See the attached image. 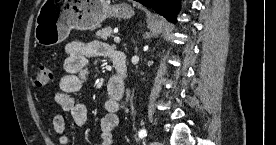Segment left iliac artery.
Segmentation results:
<instances>
[{
    "label": "left iliac artery",
    "instance_id": "obj_1",
    "mask_svg": "<svg viewBox=\"0 0 276 145\" xmlns=\"http://www.w3.org/2000/svg\"><path fill=\"white\" fill-rule=\"evenodd\" d=\"M138 135H139L140 138H144V137L147 136V131L145 129H142V130L139 131Z\"/></svg>",
    "mask_w": 276,
    "mask_h": 145
}]
</instances>
